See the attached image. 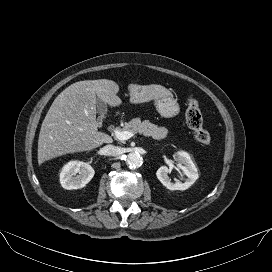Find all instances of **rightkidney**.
Returning a JSON list of instances; mask_svg holds the SVG:
<instances>
[{
	"mask_svg": "<svg viewBox=\"0 0 272 272\" xmlns=\"http://www.w3.org/2000/svg\"><path fill=\"white\" fill-rule=\"evenodd\" d=\"M94 174L91 165L81 161H70L62 168L60 183L67 190L83 188Z\"/></svg>",
	"mask_w": 272,
	"mask_h": 272,
	"instance_id": "right-kidney-1",
	"label": "right kidney"
}]
</instances>
